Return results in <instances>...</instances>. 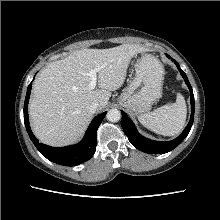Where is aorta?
<instances>
[{
  "mask_svg": "<svg viewBox=\"0 0 220 220\" xmlns=\"http://www.w3.org/2000/svg\"><path fill=\"white\" fill-rule=\"evenodd\" d=\"M106 118L110 122H118L121 119V112L117 109H111L107 112Z\"/></svg>",
  "mask_w": 220,
  "mask_h": 220,
  "instance_id": "762f6f07",
  "label": "aorta"
}]
</instances>
